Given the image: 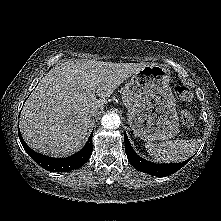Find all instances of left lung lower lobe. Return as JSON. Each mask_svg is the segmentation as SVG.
<instances>
[{
  "label": "left lung lower lobe",
  "instance_id": "left-lung-lower-lobe-1",
  "mask_svg": "<svg viewBox=\"0 0 221 221\" xmlns=\"http://www.w3.org/2000/svg\"><path fill=\"white\" fill-rule=\"evenodd\" d=\"M124 142H125V151L130 164L141 172L155 176L162 177V176L171 175L177 172L179 169H181L184 165H186L192 158L191 157L188 160L183 161L182 163H176V164H155L145 159H142L140 156H138L135 153V151H133V148L128 140L126 133H124Z\"/></svg>",
  "mask_w": 221,
  "mask_h": 221
}]
</instances>
